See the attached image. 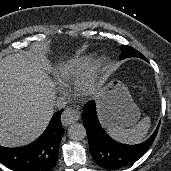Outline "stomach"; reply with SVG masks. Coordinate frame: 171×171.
<instances>
[{
	"label": "stomach",
	"mask_w": 171,
	"mask_h": 171,
	"mask_svg": "<svg viewBox=\"0 0 171 171\" xmlns=\"http://www.w3.org/2000/svg\"><path fill=\"white\" fill-rule=\"evenodd\" d=\"M101 102L103 106L100 117L104 125L128 128L140 118V110L127 87L118 80H112L107 85Z\"/></svg>",
	"instance_id": "obj_1"
}]
</instances>
